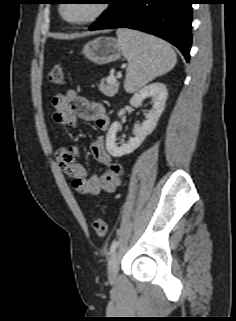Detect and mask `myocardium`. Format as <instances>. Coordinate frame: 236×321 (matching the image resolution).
<instances>
[{
  "label": "myocardium",
  "instance_id": "f54148a6",
  "mask_svg": "<svg viewBox=\"0 0 236 321\" xmlns=\"http://www.w3.org/2000/svg\"><path fill=\"white\" fill-rule=\"evenodd\" d=\"M67 4L68 3L65 2L61 3L58 7V12L61 19L70 25H86L93 23L103 17L109 9V4L105 0H99L96 1V8L89 16L81 19H68L64 15V9Z\"/></svg>",
  "mask_w": 236,
  "mask_h": 321
}]
</instances>
